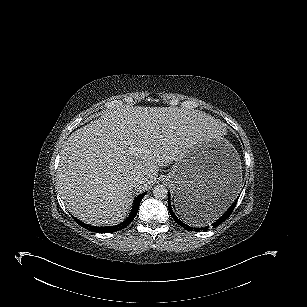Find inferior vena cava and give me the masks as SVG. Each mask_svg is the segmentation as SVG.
<instances>
[{
	"mask_svg": "<svg viewBox=\"0 0 307 307\" xmlns=\"http://www.w3.org/2000/svg\"><path fill=\"white\" fill-rule=\"evenodd\" d=\"M143 183V180L140 179H134L130 182V186L133 188L139 187Z\"/></svg>",
	"mask_w": 307,
	"mask_h": 307,
	"instance_id": "inferior-vena-cava-1",
	"label": "inferior vena cava"
}]
</instances>
